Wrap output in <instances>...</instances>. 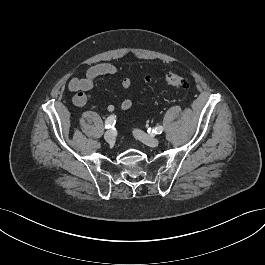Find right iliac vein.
Masks as SVG:
<instances>
[{
  "label": "right iliac vein",
  "mask_w": 265,
  "mask_h": 265,
  "mask_svg": "<svg viewBox=\"0 0 265 265\" xmlns=\"http://www.w3.org/2000/svg\"><path fill=\"white\" fill-rule=\"evenodd\" d=\"M104 138H105L106 142L109 144H114V142H115V134L111 130H109L105 133Z\"/></svg>",
  "instance_id": "1"
}]
</instances>
